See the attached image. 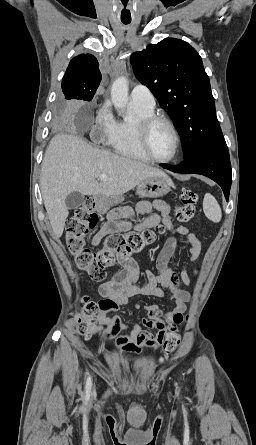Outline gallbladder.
<instances>
[{
    "label": "gallbladder",
    "mask_w": 256,
    "mask_h": 445,
    "mask_svg": "<svg viewBox=\"0 0 256 445\" xmlns=\"http://www.w3.org/2000/svg\"><path fill=\"white\" fill-rule=\"evenodd\" d=\"M84 196L79 192H71L65 199L68 209H76L83 204Z\"/></svg>",
    "instance_id": "obj_1"
}]
</instances>
